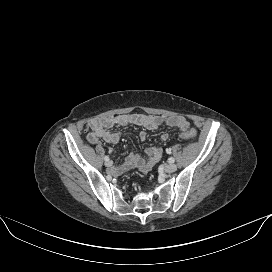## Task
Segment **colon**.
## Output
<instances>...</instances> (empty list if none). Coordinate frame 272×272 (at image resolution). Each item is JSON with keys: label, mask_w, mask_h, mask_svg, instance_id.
<instances>
[{"label": "colon", "mask_w": 272, "mask_h": 272, "mask_svg": "<svg viewBox=\"0 0 272 272\" xmlns=\"http://www.w3.org/2000/svg\"><path fill=\"white\" fill-rule=\"evenodd\" d=\"M180 136L184 139L191 140L197 136V132L193 129H187V130H183L180 133Z\"/></svg>", "instance_id": "obj_1"}]
</instances>
